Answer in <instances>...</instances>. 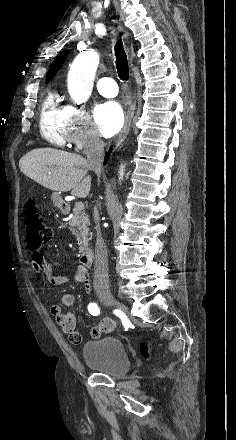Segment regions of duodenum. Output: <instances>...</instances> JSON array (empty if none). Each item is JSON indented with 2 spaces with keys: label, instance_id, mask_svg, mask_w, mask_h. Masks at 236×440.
Instances as JSON below:
<instances>
[{
  "label": "duodenum",
  "instance_id": "410a0bca",
  "mask_svg": "<svg viewBox=\"0 0 236 440\" xmlns=\"http://www.w3.org/2000/svg\"><path fill=\"white\" fill-rule=\"evenodd\" d=\"M62 209H65V205L61 203ZM94 253L91 249H87L83 252L80 258V262L83 268H90L93 264Z\"/></svg>",
  "mask_w": 236,
  "mask_h": 440
}]
</instances>
